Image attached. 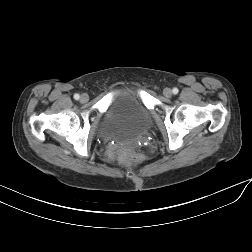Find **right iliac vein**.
Returning <instances> with one entry per match:
<instances>
[{"instance_id":"1","label":"right iliac vein","mask_w":252,"mask_h":252,"mask_svg":"<svg viewBox=\"0 0 252 252\" xmlns=\"http://www.w3.org/2000/svg\"><path fill=\"white\" fill-rule=\"evenodd\" d=\"M88 99H89V97H88V95L87 94H82L81 95V97H80V101L82 102V103H85V102H87L88 101Z\"/></svg>"}]
</instances>
